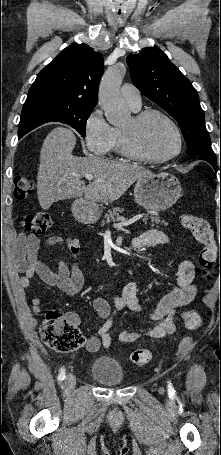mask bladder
I'll list each match as a JSON object with an SVG mask.
<instances>
[{"label": "bladder", "instance_id": "31cf9c89", "mask_svg": "<svg viewBox=\"0 0 221 455\" xmlns=\"http://www.w3.org/2000/svg\"><path fill=\"white\" fill-rule=\"evenodd\" d=\"M91 375L106 385H121L124 381L123 369L117 362L98 359L92 363Z\"/></svg>", "mask_w": 221, "mask_h": 455}]
</instances>
